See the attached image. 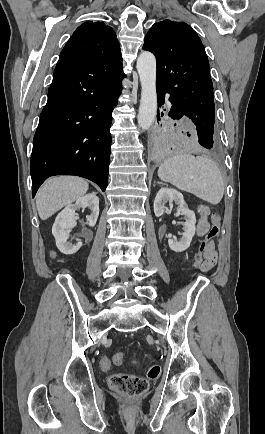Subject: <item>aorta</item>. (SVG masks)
Returning <instances> with one entry per match:
<instances>
[{
  "label": "aorta",
  "mask_w": 265,
  "mask_h": 434,
  "mask_svg": "<svg viewBox=\"0 0 265 434\" xmlns=\"http://www.w3.org/2000/svg\"><path fill=\"white\" fill-rule=\"evenodd\" d=\"M136 68L141 82L138 126L141 130H149L157 114L155 56L151 52H141Z\"/></svg>",
  "instance_id": "aorta-1"
}]
</instances>
